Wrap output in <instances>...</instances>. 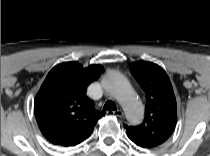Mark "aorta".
<instances>
[{
    "instance_id": "762f6f07",
    "label": "aorta",
    "mask_w": 210,
    "mask_h": 156,
    "mask_svg": "<svg viewBox=\"0 0 210 156\" xmlns=\"http://www.w3.org/2000/svg\"><path fill=\"white\" fill-rule=\"evenodd\" d=\"M109 91L121 103L127 119L139 123L144 116V107L130 83L118 73H110L106 78Z\"/></svg>"
}]
</instances>
